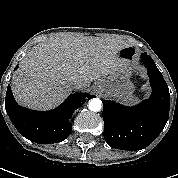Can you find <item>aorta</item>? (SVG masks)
Listing matches in <instances>:
<instances>
[{
    "label": "aorta",
    "mask_w": 178,
    "mask_h": 178,
    "mask_svg": "<svg viewBox=\"0 0 178 178\" xmlns=\"http://www.w3.org/2000/svg\"><path fill=\"white\" fill-rule=\"evenodd\" d=\"M102 108L101 100L98 98H94L89 102V109L93 112H98Z\"/></svg>",
    "instance_id": "1"
}]
</instances>
